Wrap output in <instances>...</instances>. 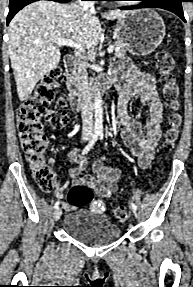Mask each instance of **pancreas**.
<instances>
[{"instance_id": "pancreas-1", "label": "pancreas", "mask_w": 193, "mask_h": 287, "mask_svg": "<svg viewBox=\"0 0 193 287\" xmlns=\"http://www.w3.org/2000/svg\"><path fill=\"white\" fill-rule=\"evenodd\" d=\"M114 47H115V53H114L115 57H123V56H125L127 49H126V46H125V44L123 42L116 41L114 43ZM76 81H77V83H79L78 80H76Z\"/></svg>"}]
</instances>
